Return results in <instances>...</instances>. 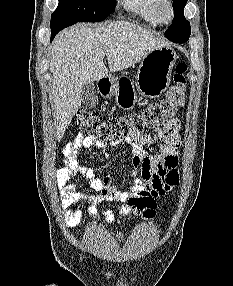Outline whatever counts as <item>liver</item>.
Segmentation results:
<instances>
[{"label":"liver","instance_id":"1","mask_svg":"<svg viewBox=\"0 0 233 286\" xmlns=\"http://www.w3.org/2000/svg\"><path fill=\"white\" fill-rule=\"evenodd\" d=\"M164 46L169 44L163 38L128 21L95 27L79 23L61 32L51 47L50 61L56 139L63 137L80 108L85 83L127 69Z\"/></svg>","mask_w":233,"mask_h":286}]
</instances>
